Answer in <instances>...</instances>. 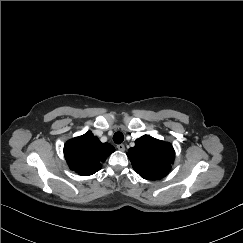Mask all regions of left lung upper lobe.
<instances>
[{
	"label": "left lung upper lobe",
	"mask_w": 243,
	"mask_h": 243,
	"mask_svg": "<svg viewBox=\"0 0 243 243\" xmlns=\"http://www.w3.org/2000/svg\"><path fill=\"white\" fill-rule=\"evenodd\" d=\"M174 149L168 142L144 135L135 141L127 156L133 169L142 178L157 180L165 177L174 162Z\"/></svg>",
	"instance_id": "obj_1"
}]
</instances>
